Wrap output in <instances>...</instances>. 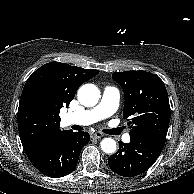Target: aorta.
<instances>
[{
  "instance_id": "aorta-1",
  "label": "aorta",
  "mask_w": 194,
  "mask_h": 194,
  "mask_svg": "<svg viewBox=\"0 0 194 194\" xmlns=\"http://www.w3.org/2000/svg\"><path fill=\"white\" fill-rule=\"evenodd\" d=\"M100 98V91L94 84H85L78 90L79 102L86 106L92 107L96 105ZM103 152L112 154L116 151V141L112 138H104L100 143Z\"/></svg>"
}]
</instances>
